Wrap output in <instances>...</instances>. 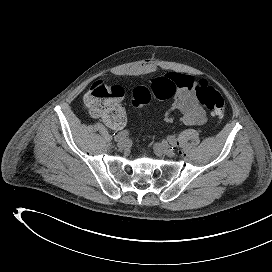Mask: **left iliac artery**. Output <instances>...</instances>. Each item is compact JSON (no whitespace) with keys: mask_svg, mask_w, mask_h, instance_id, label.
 Masks as SVG:
<instances>
[{"mask_svg":"<svg viewBox=\"0 0 272 272\" xmlns=\"http://www.w3.org/2000/svg\"><path fill=\"white\" fill-rule=\"evenodd\" d=\"M167 140L169 141V143L172 145V149L173 147H176L177 146V140L174 136H168L167 137Z\"/></svg>","mask_w":272,"mask_h":272,"instance_id":"1","label":"left iliac artery"}]
</instances>
